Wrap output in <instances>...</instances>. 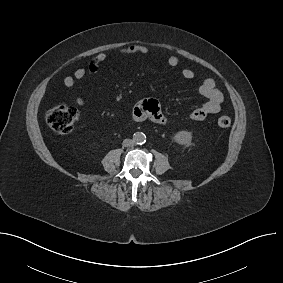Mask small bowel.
Segmentation results:
<instances>
[{"instance_id":"c3829d8e","label":"small bowel","mask_w":283,"mask_h":283,"mask_svg":"<svg viewBox=\"0 0 283 283\" xmlns=\"http://www.w3.org/2000/svg\"><path fill=\"white\" fill-rule=\"evenodd\" d=\"M148 52V48L142 44H131L121 49L122 55H142ZM108 59L107 54H98L88 65V70L85 68H78L73 75L66 76L64 78V85L69 90H73L77 81H81L85 78L87 71L92 74H96L100 71L102 64ZM167 64L170 67H176L179 64V59L176 56H169L167 58ZM181 75L186 80H192L195 77V73L191 69H183ZM199 93L205 99L204 103L195 108L190 114L189 118L193 121H202L207 116L217 114L221 110L223 103V94L216 87L215 82L211 78H204L199 83ZM75 102L79 106L84 105V100L77 96ZM133 119L141 122L144 120H151L157 124L166 123L167 119L162 113L160 105L155 99H146L135 105L132 112Z\"/></svg>"}]
</instances>
